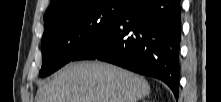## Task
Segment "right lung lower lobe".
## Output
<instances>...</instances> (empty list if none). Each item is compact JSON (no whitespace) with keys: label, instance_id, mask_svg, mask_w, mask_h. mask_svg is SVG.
<instances>
[{"label":"right lung lower lobe","instance_id":"1","mask_svg":"<svg viewBox=\"0 0 221 102\" xmlns=\"http://www.w3.org/2000/svg\"><path fill=\"white\" fill-rule=\"evenodd\" d=\"M180 39L178 0H128L118 21L72 61L99 59L155 77L178 98Z\"/></svg>","mask_w":221,"mask_h":102}]
</instances>
